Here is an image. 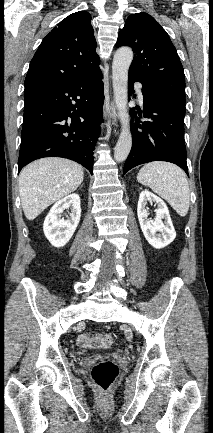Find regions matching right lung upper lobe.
Here are the masks:
<instances>
[{
	"mask_svg": "<svg viewBox=\"0 0 213 433\" xmlns=\"http://www.w3.org/2000/svg\"><path fill=\"white\" fill-rule=\"evenodd\" d=\"M91 15L75 12L41 42L29 66L25 86H60L99 69Z\"/></svg>",
	"mask_w": 213,
	"mask_h": 433,
	"instance_id": "right-lung-upper-lobe-1",
	"label": "right lung upper lobe"
}]
</instances>
